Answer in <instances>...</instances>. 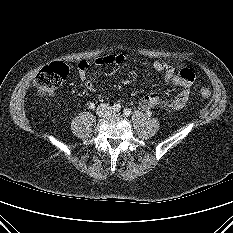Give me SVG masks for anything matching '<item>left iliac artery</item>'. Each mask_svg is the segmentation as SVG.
<instances>
[{"label":"left iliac artery","mask_w":233,"mask_h":233,"mask_svg":"<svg viewBox=\"0 0 233 233\" xmlns=\"http://www.w3.org/2000/svg\"><path fill=\"white\" fill-rule=\"evenodd\" d=\"M123 113H124L125 116H130L131 115V110L129 108H125L123 110Z\"/></svg>","instance_id":"1"}]
</instances>
